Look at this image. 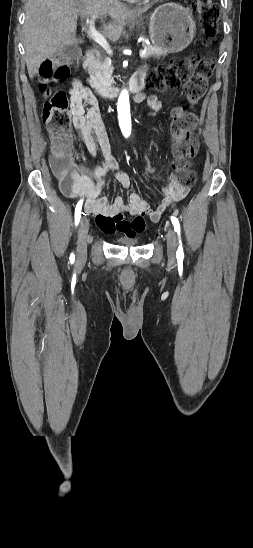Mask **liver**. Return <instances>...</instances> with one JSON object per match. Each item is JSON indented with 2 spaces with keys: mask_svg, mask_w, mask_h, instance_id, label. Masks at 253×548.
<instances>
[{
  "mask_svg": "<svg viewBox=\"0 0 253 548\" xmlns=\"http://www.w3.org/2000/svg\"><path fill=\"white\" fill-rule=\"evenodd\" d=\"M148 7L129 9L118 0H29L23 28L25 59L29 77L38 73L41 64L66 46L82 43L76 39L78 15L110 16L104 35L117 41L127 20Z\"/></svg>",
  "mask_w": 253,
  "mask_h": 548,
  "instance_id": "obj_1",
  "label": "liver"
}]
</instances>
